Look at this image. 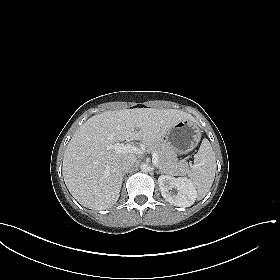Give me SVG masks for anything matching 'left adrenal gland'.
<instances>
[{
  "instance_id": "obj_1",
  "label": "left adrenal gland",
  "mask_w": 280,
  "mask_h": 280,
  "mask_svg": "<svg viewBox=\"0 0 280 280\" xmlns=\"http://www.w3.org/2000/svg\"><path fill=\"white\" fill-rule=\"evenodd\" d=\"M157 173H163L162 171H157Z\"/></svg>"
}]
</instances>
